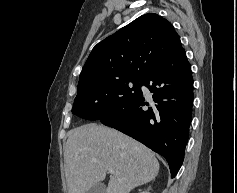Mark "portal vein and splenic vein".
I'll return each mask as SVG.
<instances>
[{"mask_svg":"<svg viewBox=\"0 0 237 193\" xmlns=\"http://www.w3.org/2000/svg\"><path fill=\"white\" fill-rule=\"evenodd\" d=\"M108 172L111 174H114V169L113 168H108Z\"/></svg>","mask_w":237,"mask_h":193,"instance_id":"18ae733b","label":"portal vein and splenic vein"}]
</instances>
